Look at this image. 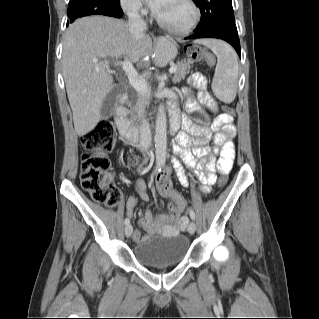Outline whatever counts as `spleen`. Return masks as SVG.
I'll list each match as a JSON object with an SVG mask.
<instances>
[{
  "mask_svg": "<svg viewBox=\"0 0 319 319\" xmlns=\"http://www.w3.org/2000/svg\"><path fill=\"white\" fill-rule=\"evenodd\" d=\"M203 44L209 47L217 56L212 91L220 101L231 103L234 101L237 93V56L232 47L223 41L208 39L204 40Z\"/></svg>",
  "mask_w": 319,
  "mask_h": 319,
  "instance_id": "3e777b00",
  "label": "spleen"
}]
</instances>
